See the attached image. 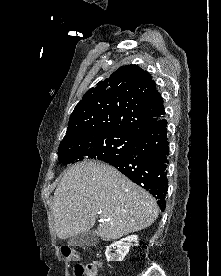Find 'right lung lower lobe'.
Wrapping results in <instances>:
<instances>
[{"instance_id": "right-lung-lower-lobe-1", "label": "right lung lower lobe", "mask_w": 221, "mask_h": 276, "mask_svg": "<svg viewBox=\"0 0 221 276\" xmlns=\"http://www.w3.org/2000/svg\"><path fill=\"white\" fill-rule=\"evenodd\" d=\"M168 154L167 121L159 119L138 137L137 143L129 152L107 163L149 191L158 199L157 203L161 211H164L168 189Z\"/></svg>"}]
</instances>
